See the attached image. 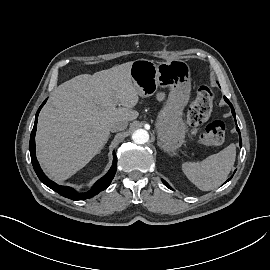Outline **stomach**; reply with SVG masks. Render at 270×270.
Instances as JSON below:
<instances>
[{"mask_svg": "<svg viewBox=\"0 0 270 270\" xmlns=\"http://www.w3.org/2000/svg\"><path fill=\"white\" fill-rule=\"evenodd\" d=\"M190 74L189 65L179 59L159 64L138 59L131 65L130 75L139 96H151L159 86L170 88L168 99L156 122L158 145L166 152H174L184 142L186 128L182 111L190 97Z\"/></svg>", "mask_w": 270, "mask_h": 270, "instance_id": "1", "label": "stomach"}]
</instances>
